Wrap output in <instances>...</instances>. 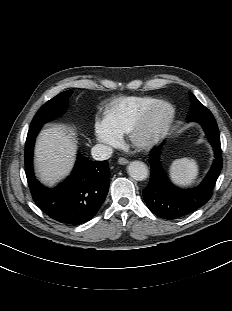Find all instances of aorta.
<instances>
[{
    "mask_svg": "<svg viewBox=\"0 0 232 311\" xmlns=\"http://www.w3.org/2000/svg\"><path fill=\"white\" fill-rule=\"evenodd\" d=\"M128 174L137 181L145 180L148 176V167L144 162L132 161L128 165Z\"/></svg>",
    "mask_w": 232,
    "mask_h": 311,
    "instance_id": "762f6f07",
    "label": "aorta"
}]
</instances>
